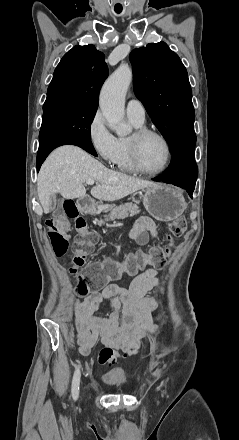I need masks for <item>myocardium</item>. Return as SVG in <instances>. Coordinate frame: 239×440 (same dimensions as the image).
Segmentation results:
<instances>
[{"instance_id": "1", "label": "myocardium", "mask_w": 239, "mask_h": 440, "mask_svg": "<svg viewBox=\"0 0 239 440\" xmlns=\"http://www.w3.org/2000/svg\"><path fill=\"white\" fill-rule=\"evenodd\" d=\"M150 135L156 136L159 139H161L163 141V143L166 147V151H167L166 163L161 169H159L157 171L147 170L142 165L141 160H140V155H139L140 141ZM128 147H129V154H130L132 166L139 173H142L147 176H158V175H161L164 172H166L167 169L171 165L172 156H173L172 145H171L169 139L162 132H160L157 129H153V128H149V127H138L135 130V132L132 134V136L129 137Z\"/></svg>"}]
</instances>
